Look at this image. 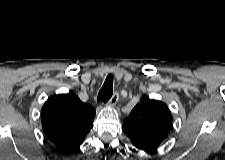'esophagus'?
<instances>
[{
	"mask_svg": "<svg viewBox=\"0 0 225 160\" xmlns=\"http://www.w3.org/2000/svg\"><path fill=\"white\" fill-rule=\"evenodd\" d=\"M118 98H119V95H118L117 92H115V93L112 95L111 99L109 100L108 105H109V106H115L116 103H117V101H118Z\"/></svg>",
	"mask_w": 225,
	"mask_h": 160,
	"instance_id": "1",
	"label": "esophagus"
}]
</instances>
